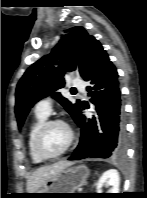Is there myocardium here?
I'll list each match as a JSON object with an SVG mask.
<instances>
[{
  "instance_id": "1",
  "label": "myocardium",
  "mask_w": 147,
  "mask_h": 198,
  "mask_svg": "<svg viewBox=\"0 0 147 198\" xmlns=\"http://www.w3.org/2000/svg\"><path fill=\"white\" fill-rule=\"evenodd\" d=\"M62 125L66 128L67 132H68V140L65 144V146L62 148L61 151L51 154L48 153L44 150L43 146H42V140L43 137L46 133V131L53 125ZM74 131L71 128V126L63 119H59V118H55V119H50V120H46L42 126L38 129L35 138H34V148L36 153L43 159L45 160H52V159H56L60 156H62L63 154H65L69 148L72 146L73 142H74Z\"/></svg>"
}]
</instances>
